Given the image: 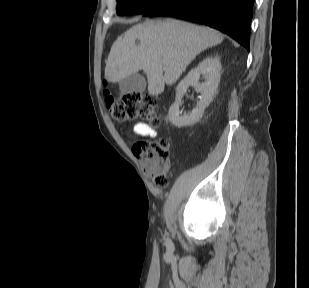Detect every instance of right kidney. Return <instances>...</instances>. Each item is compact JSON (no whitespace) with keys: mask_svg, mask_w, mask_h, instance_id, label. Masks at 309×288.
I'll return each instance as SVG.
<instances>
[{"mask_svg":"<svg viewBox=\"0 0 309 288\" xmlns=\"http://www.w3.org/2000/svg\"><path fill=\"white\" fill-rule=\"evenodd\" d=\"M221 63L216 57H207L195 69L178 84L176 99L169 109L168 117L171 123L177 127H185L195 124L203 115L205 108L210 104L217 92L220 82ZM205 75L207 81L199 83L200 75ZM192 85L201 94L199 101L190 114L181 116L179 106L187 88Z\"/></svg>","mask_w":309,"mask_h":288,"instance_id":"ca27d5eb","label":"right kidney"}]
</instances>
